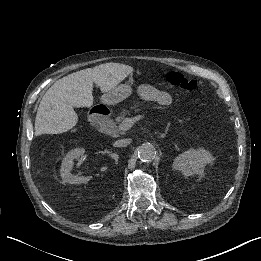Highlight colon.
I'll use <instances>...</instances> for the list:
<instances>
[{
	"label": "colon",
	"instance_id": "5ec220e1",
	"mask_svg": "<svg viewBox=\"0 0 261 261\" xmlns=\"http://www.w3.org/2000/svg\"><path fill=\"white\" fill-rule=\"evenodd\" d=\"M166 81L171 85L179 86L189 91L199 89V84L197 81L191 80L177 72L168 73L166 76Z\"/></svg>",
	"mask_w": 261,
	"mask_h": 261
}]
</instances>
